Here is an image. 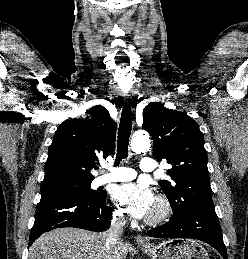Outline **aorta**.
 <instances>
[{
  "label": "aorta",
  "mask_w": 248,
  "mask_h": 259,
  "mask_svg": "<svg viewBox=\"0 0 248 259\" xmlns=\"http://www.w3.org/2000/svg\"><path fill=\"white\" fill-rule=\"evenodd\" d=\"M151 146L150 139L145 134H136L132 137L131 148L134 152L141 153L147 151Z\"/></svg>",
  "instance_id": "obj_1"
}]
</instances>
